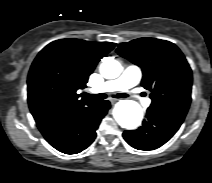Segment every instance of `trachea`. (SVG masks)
<instances>
[{
    "label": "trachea",
    "instance_id": "trachea-1",
    "mask_svg": "<svg viewBox=\"0 0 212 183\" xmlns=\"http://www.w3.org/2000/svg\"><path fill=\"white\" fill-rule=\"evenodd\" d=\"M86 96L88 98H91L93 100H103L105 98H107V95L104 93H100V94H88L86 93ZM113 98H126L129 97V95L125 94V93H118L116 95L112 96Z\"/></svg>",
    "mask_w": 212,
    "mask_h": 183
}]
</instances>
